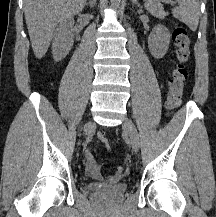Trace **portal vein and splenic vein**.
<instances>
[{
  "label": "portal vein and splenic vein",
  "instance_id": "obj_1",
  "mask_svg": "<svg viewBox=\"0 0 216 217\" xmlns=\"http://www.w3.org/2000/svg\"><path fill=\"white\" fill-rule=\"evenodd\" d=\"M161 1H169V0H161Z\"/></svg>",
  "mask_w": 216,
  "mask_h": 217
}]
</instances>
